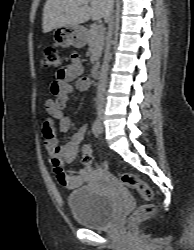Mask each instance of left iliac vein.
<instances>
[{"label": "left iliac vein", "instance_id": "left-iliac-vein-1", "mask_svg": "<svg viewBox=\"0 0 194 250\" xmlns=\"http://www.w3.org/2000/svg\"><path fill=\"white\" fill-rule=\"evenodd\" d=\"M103 132V126L101 125L100 126V133H102Z\"/></svg>", "mask_w": 194, "mask_h": 250}]
</instances>
